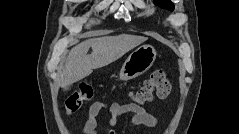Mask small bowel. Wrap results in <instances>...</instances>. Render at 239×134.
I'll use <instances>...</instances> for the list:
<instances>
[{"mask_svg":"<svg viewBox=\"0 0 239 134\" xmlns=\"http://www.w3.org/2000/svg\"><path fill=\"white\" fill-rule=\"evenodd\" d=\"M108 109L111 115L110 125H114L116 121L125 114H131L130 127L144 125L149 128H153L157 124L155 116L150 114L145 108L135 103L120 104L117 102L108 106L104 102H94L88 110V119L86 120L83 128V134H100L97 116L101 111ZM109 134H114L113 130L109 131Z\"/></svg>","mask_w":239,"mask_h":134,"instance_id":"small-bowel-1","label":"small bowel"}]
</instances>
